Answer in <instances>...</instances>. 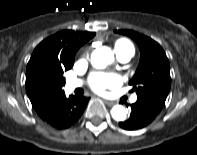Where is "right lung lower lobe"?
<instances>
[{
  "mask_svg": "<svg viewBox=\"0 0 197 155\" xmlns=\"http://www.w3.org/2000/svg\"><path fill=\"white\" fill-rule=\"evenodd\" d=\"M88 101L86 97H65L44 121L57 129H66L81 117Z\"/></svg>",
  "mask_w": 197,
  "mask_h": 155,
  "instance_id": "1",
  "label": "right lung lower lobe"
}]
</instances>
